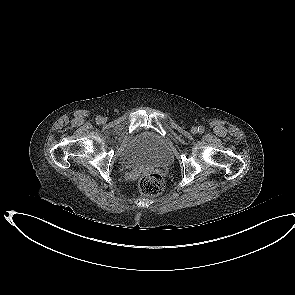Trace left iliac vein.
Returning <instances> with one entry per match:
<instances>
[{
    "label": "left iliac vein",
    "mask_w": 295,
    "mask_h": 295,
    "mask_svg": "<svg viewBox=\"0 0 295 295\" xmlns=\"http://www.w3.org/2000/svg\"><path fill=\"white\" fill-rule=\"evenodd\" d=\"M191 131H192L193 133H196V132H197V128H196V127H193Z\"/></svg>",
    "instance_id": "4c4485c4"
}]
</instances>
